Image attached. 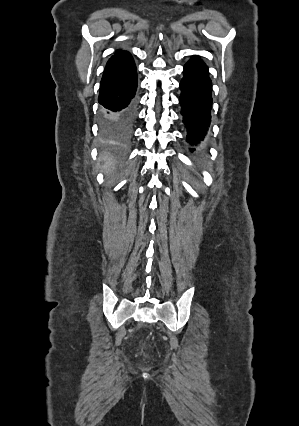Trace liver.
Wrapping results in <instances>:
<instances>
[{"instance_id":"1","label":"liver","mask_w":299,"mask_h":426,"mask_svg":"<svg viewBox=\"0 0 299 426\" xmlns=\"http://www.w3.org/2000/svg\"><path fill=\"white\" fill-rule=\"evenodd\" d=\"M114 166H115V164L111 160L107 161V167L106 168L108 169V171L112 170L114 168Z\"/></svg>"}]
</instances>
